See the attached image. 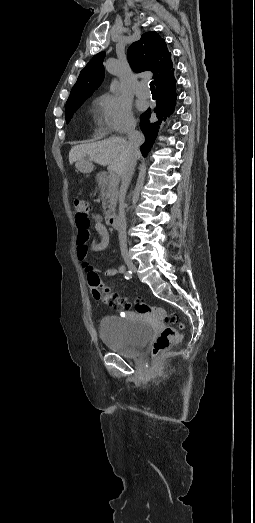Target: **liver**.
I'll use <instances>...</instances> for the list:
<instances>
[{
    "instance_id": "liver-1",
    "label": "liver",
    "mask_w": 255,
    "mask_h": 523,
    "mask_svg": "<svg viewBox=\"0 0 255 523\" xmlns=\"http://www.w3.org/2000/svg\"><path fill=\"white\" fill-rule=\"evenodd\" d=\"M128 142L123 138H107V140H101V142H94V144H81V146H73L69 152V162L74 164L77 162L76 168H86L90 166L92 170V164L89 162H95L100 166H108V170L119 174L124 168V152L127 148ZM141 158V154H136V160Z\"/></svg>"
}]
</instances>
